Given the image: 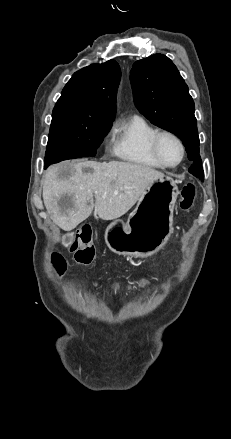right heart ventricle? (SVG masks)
I'll return each instance as SVG.
<instances>
[{
  "mask_svg": "<svg viewBox=\"0 0 231 439\" xmlns=\"http://www.w3.org/2000/svg\"><path fill=\"white\" fill-rule=\"evenodd\" d=\"M156 132L144 118L133 116L116 127L112 152L130 164L146 169H162L150 151V140Z\"/></svg>",
  "mask_w": 231,
  "mask_h": 439,
  "instance_id": "obj_1",
  "label": "right heart ventricle"
}]
</instances>
